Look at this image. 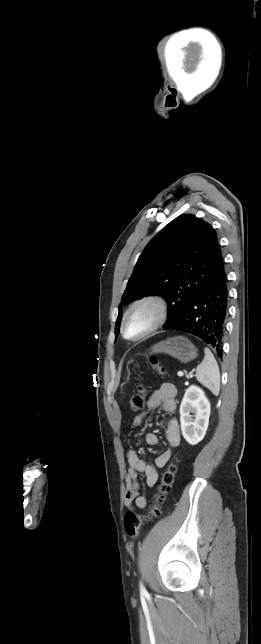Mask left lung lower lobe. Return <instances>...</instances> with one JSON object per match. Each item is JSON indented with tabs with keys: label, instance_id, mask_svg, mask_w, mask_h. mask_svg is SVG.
Here are the masks:
<instances>
[{
	"label": "left lung lower lobe",
	"instance_id": "left-lung-lower-lobe-1",
	"mask_svg": "<svg viewBox=\"0 0 261 644\" xmlns=\"http://www.w3.org/2000/svg\"><path fill=\"white\" fill-rule=\"evenodd\" d=\"M228 279L222 259L183 313L164 330L193 334L222 355V338L228 309Z\"/></svg>",
	"mask_w": 261,
	"mask_h": 644
}]
</instances>
